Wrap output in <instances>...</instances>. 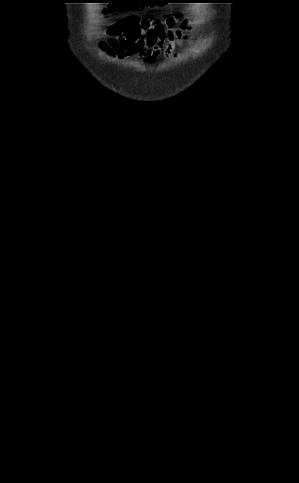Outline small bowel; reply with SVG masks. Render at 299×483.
<instances>
[{
    "instance_id": "1",
    "label": "small bowel",
    "mask_w": 299,
    "mask_h": 483,
    "mask_svg": "<svg viewBox=\"0 0 299 483\" xmlns=\"http://www.w3.org/2000/svg\"><path fill=\"white\" fill-rule=\"evenodd\" d=\"M186 28L187 20L182 14L171 15L165 22L152 15L130 14L107 28L109 38L99 46L113 58L152 61L162 54L175 59V49L183 44Z\"/></svg>"
}]
</instances>
